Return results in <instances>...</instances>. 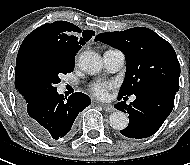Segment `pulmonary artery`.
Listing matches in <instances>:
<instances>
[{
  "label": "pulmonary artery",
  "instance_id": "e3ab8cb5",
  "mask_svg": "<svg viewBox=\"0 0 190 165\" xmlns=\"http://www.w3.org/2000/svg\"><path fill=\"white\" fill-rule=\"evenodd\" d=\"M103 62L105 68L109 72L114 73L123 67L125 63V55L118 49H109L106 50L103 54ZM131 100H135V96H133Z\"/></svg>",
  "mask_w": 190,
  "mask_h": 165
}]
</instances>
